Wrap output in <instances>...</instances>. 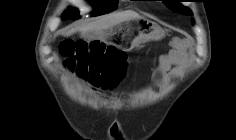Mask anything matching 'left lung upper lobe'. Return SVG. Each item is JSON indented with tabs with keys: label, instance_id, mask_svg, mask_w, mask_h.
Listing matches in <instances>:
<instances>
[{
	"label": "left lung upper lobe",
	"instance_id": "obj_1",
	"mask_svg": "<svg viewBox=\"0 0 236 140\" xmlns=\"http://www.w3.org/2000/svg\"><path fill=\"white\" fill-rule=\"evenodd\" d=\"M180 1L181 0H164L163 2L166 4L168 8H170L173 11L186 15H192V12L188 8L179 4Z\"/></svg>",
	"mask_w": 236,
	"mask_h": 140
}]
</instances>
